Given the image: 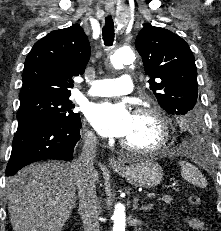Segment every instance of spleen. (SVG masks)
Wrapping results in <instances>:
<instances>
[{
	"instance_id": "spleen-1",
	"label": "spleen",
	"mask_w": 221,
	"mask_h": 231,
	"mask_svg": "<svg viewBox=\"0 0 221 231\" xmlns=\"http://www.w3.org/2000/svg\"><path fill=\"white\" fill-rule=\"evenodd\" d=\"M179 165L181 166V175L186 181L201 188L206 187L207 182L197 167L187 161H180Z\"/></svg>"
}]
</instances>
